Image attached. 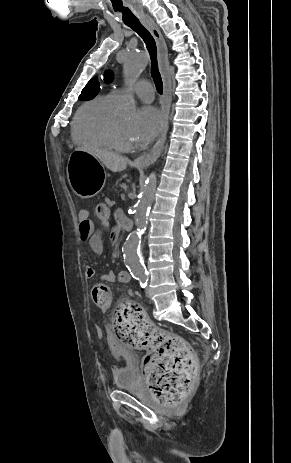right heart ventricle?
Segmentation results:
<instances>
[{"label": "right heart ventricle", "mask_w": 291, "mask_h": 463, "mask_svg": "<svg viewBox=\"0 0 291 463\" xmlns=\"http://www.w3.org/2000/svg\"><path fill=\"white\" fill-rule=\"evenodd\" d=\"M117 102L110 93L84 103L72 123L73 141L89 149H113L108 129Z\"/></svg>", "instance_id": "right-heart-ventricle-1"}]
</instances>
